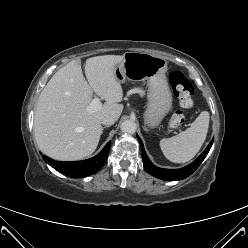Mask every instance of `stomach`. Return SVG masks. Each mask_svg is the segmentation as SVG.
Instances as JSON below:
<instances>
[{
    "label": "stomach",
    "instance_id": "0dacf381",
    "mask_svg": "<svg viewBox=\"0 0 248 248\" xmlns=\"http://www.w3.org/2000/svg\"><path fill=\"white\" fill-rule=\"evenodd\" d=\"M167 62L162 57L143 52H127L123 60L114 67L117 80L147 81V108L144 120L149 128H156L172 107L166 73Z\"/></svg>",
    "mask_w": 248,
    "mask_h": 248
}]
</instances>
